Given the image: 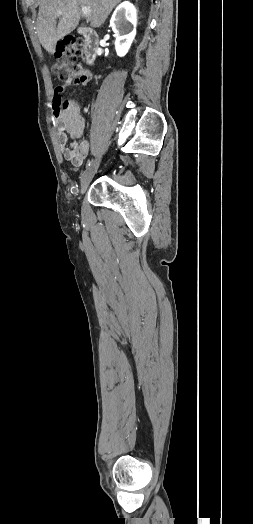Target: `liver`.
<instances>
[{
  "mask_svg": "<svg viewBox=\"0 0 253 524\" xmlns=\"http://www.w3.org/2000/svg\"><path fill=\"white\" fill-rule=\"evenodd\" d=\"M120 2L121 0H40L36 24L39 41L47 52L54 53L56 43L79 24L80 6L90 7V26L99 28Z\"/></svg>",
  "mask_w": 253,
  "mask_h": 524,
  "instance_id": "1",
  "label": "liver"
}]
</instances>
